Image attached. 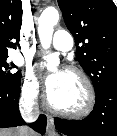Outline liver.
I'll return each mask as SVG.
<instances>
[{
  "mask_svg": "<svg viewBox=\"0 0 117 136\" xmlns=\"http://www.w3.org/2000/svg\"><path fill=\"white\" fill-rule=\"evenodd\" d=\"M0 136H35V133L31 131L22 132L20 128L0 129Z\"/></svg>",
  "mask_w": 117,
  "mask_h": 136,
  "instance_id": "1",
  "label": "liver"
}]
</instances>
